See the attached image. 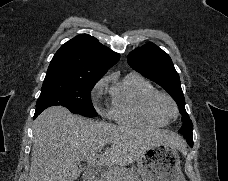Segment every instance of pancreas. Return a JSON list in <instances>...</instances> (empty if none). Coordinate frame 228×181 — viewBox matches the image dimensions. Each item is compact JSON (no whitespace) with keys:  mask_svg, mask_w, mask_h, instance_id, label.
<instances>
[{"mask_svg":"<svg viewBox=\"0 0 228 181\" xmlns=\"http://www.w3.org/2000/svg\"><path fill=\"white\" fill-rule=\"evenodd\" d=\"M109 177V179H107ZM99 181H140L135 171L125 167H110L104 173H100Z\"/></svg>","mask_w":228,"mask_h":181,"instance_id":"1","label":"pancreas"}]
</instances>
